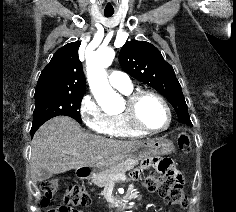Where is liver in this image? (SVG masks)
Returning a JSON list of instances; mask_svg holds the SVG:
<instances>
[{
	"instance_id": "liver-1",
	"label": "liver",
	"mask_w": 236,
	"mask_h": 212,
	"mask_svg": "<svg viewBox=\"0 0 236 212\" xmlns=\"http://www.w3.org/2000/svg\"><path fill=\"white\" fill-rule=\"evenodd\" d=\"M141 141L107 139L85 132L72 118L58 116L35 133L31 150V173L37 181L40 169L60 174L71 169L96 167L105 160L128 153ZM75 150L76 155L66 152Z\"/></svg>"
}]
</instances>
